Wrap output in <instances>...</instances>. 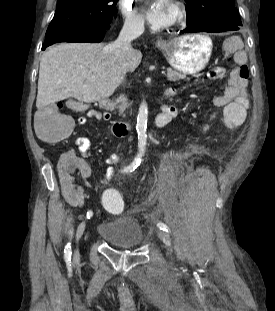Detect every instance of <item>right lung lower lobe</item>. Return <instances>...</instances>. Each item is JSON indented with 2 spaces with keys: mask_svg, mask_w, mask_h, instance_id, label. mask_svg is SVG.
<instances>
[{
  "mask_svg": "<svg viewBox=\"0 0 275 311\" xmlns=\"http://www.w3.org/2000/svg\"><path fill=\"white\" fill-rule=\"evenodd\" d=\"M114 21L106 25H93L82 28H76L70 31H65L56 36L46 38L42 50L49 45L58 42H95L99 43L104 39L105 33L113 27Z\"/></svg>",
  "mask_w": 275,
  "mask_h": 311,
  "instance_id": "obj_1",
  "label": "right lung lower lobe"
}]
</instances>
